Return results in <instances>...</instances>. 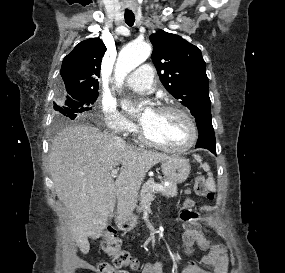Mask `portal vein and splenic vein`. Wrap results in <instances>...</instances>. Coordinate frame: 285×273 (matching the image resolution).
Segmentation results:
<instances>
[{"label":"portal vein and splenic vein","instance_id":"portal-vein-and-splenic-vein-1","mask_svg":"<svg viewBox=\"0 0 285 273\" xmlns=\"http://www.w3.org/2000/svg\"><path fill=\"white\" fill-rule=\"evenodd\" d=\"M118 175V170L117 169H113L112 171H111V176L112 177H116ZM152 189L153 190H158V191H163L164 190V187L162 186V185H160V184H154L153 186H152Z\"/></svg>","mask_w":285,"mask_h":273}]
</instances>
